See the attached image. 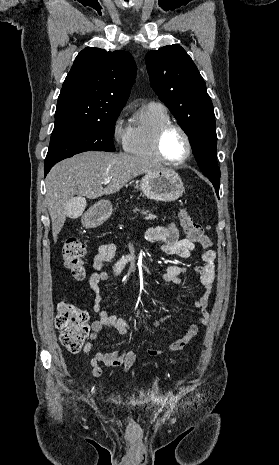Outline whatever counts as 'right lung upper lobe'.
I'll list each match as a JSON object with an SVG mask.
<instances>
[{"label":"right lung upper lobe","mask_w":279,"mask_h":465,"mask_svg":"<svg viewBox=\"0 0 279 465\" xmlns=\"http://www.w3.org/2000/svg\"><path fill=\"white\" fill-rule=\"evenodd\" d=\"M135 76L136 65L129 52L85 48L63 83L55 126L100 119L110 111L122 109Z\"/></svg>","instance_id":"cb5924a9"}]
</instances>
